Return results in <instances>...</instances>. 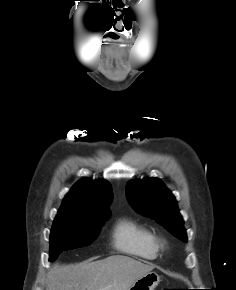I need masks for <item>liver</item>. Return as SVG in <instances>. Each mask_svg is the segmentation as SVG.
I'll return each mask as SVG.
<instances>
[{
    "label": "liver",
    "mask_w": 236,
    "mask_h": 290,
    "mask_svg": "<svg viewBox=\"0 0 236 290\" xmlns=\"http://www.w3.org/2000/svg\"><path fill=\"white\" fill-rule=\"evenodd\" d=\"M153 269V265L123 255L65 266L55 264L48 271L46 290H128Z\"/></svg>",
    "instance_id": "obj_1"
}]
</instances>
